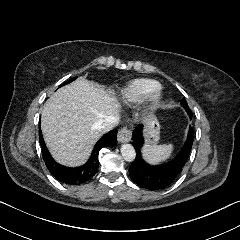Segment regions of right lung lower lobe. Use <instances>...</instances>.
<instances>
[{
    "label": "right lung lower lobe",
    "instance_id": "98d812e1",
    "mask_svg": "<svg viewBox=\"0 0 240 240\" xmlns=\"http://www.w3.org/2000/svg\"><path fill=\"white\" fill-rule=\"evenodd\" d=\"M117 129L105 134L94 146L89 160L80 167L71 168L57 163L47 150L41 129L39 128V142L42 147L43 160L50 173L60 182L77 185L89 181L97 172L99 167L98 155L102 148L114 147L117 144Z\"/></svg>",
    "mask_w": 240,
    "mask_h": 240
}]
</instances>
